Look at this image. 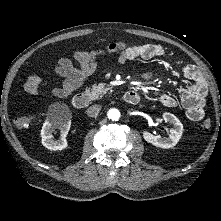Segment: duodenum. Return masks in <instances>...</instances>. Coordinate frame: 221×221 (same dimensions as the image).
I'll use <instances>...</instances> for the list:
<instances>
[{"instance_id": "410a0bca", "label": "duodenum", "mask_w": 221, "mask_h": 221, "mask_svg": "<svg viewBox=\"0 0 221 221\" xmlns=\"http://www.w3.org/2000/svg\"><path fill=\"white\" fill-rule=\"evenodd\" d=\"M123 99L126 103L135 105L139 102L140 97L136 91L130 90L124 94ZM72 104L76 109H84L89 104V98L87 95L82 93L76 94L72 98Z\"/></svg>"}]
</instances>
